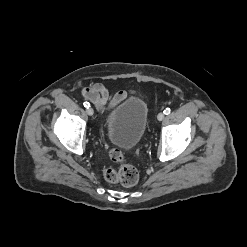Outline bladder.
I'll return each mask as SVG.
<instances>
[{"label":"bladder","mask_w":247,"mask_h":247,"mask_svg":"<svg viewBox=\"0 0 247 247\" xmlns=\"http://www.w3.org/2000/svg\"><path fill=\"white\" fill-rule=\"evenodd\" d=\"M148 121V106L130 97L115 107L106 118V135L117 147L130 150L143 138Z\"/></svg>","instance_id":"1"}]
</instances>
